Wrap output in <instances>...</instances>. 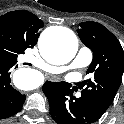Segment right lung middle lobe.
Returning <instances> with one entry per match:
<instances>
[{
  "label": "right lung middle lobe",
  "mask_w": 124,
  "mask_h": 124,
  "mask_svg": "<svg viewBox=\"0 0 124 124\" xmlns=\"http://www.w3.org/2000/svg\"><path fill=\"white\" fill-rule=\"evenodd\" d=\"M23 53L20 45L8 34L0 32V62H17V54Z\"/></svg>",
  "instance_id": "obj_1"
}]
</instances>
